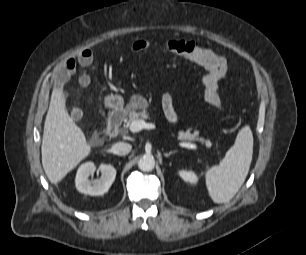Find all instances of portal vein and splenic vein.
Wrapping results in <instances>:
<instances>
[{
    "label": "portal vein and splenic vein",
    "mask_w": 306,
    "mask_h": 255,
    "mask_svg": "<svg viewBox=\"0 0 306 255\" xmlns=\"http://www.w3.org/2000/svg\"><path fill=\"white\" fill-rule=\"evenodd\" d=\"M155 126L151 123H146L143 119H138L135 120L133 122L130 123L129 125V130L132 133H136L139 132L143 129H154ZM180 147L183 148H188V149H192V150H196L197 149V145L193 144V143H189V142H180L178 144Z\"/></svg>",
    "instance_id": "1"
}]
</instances>
